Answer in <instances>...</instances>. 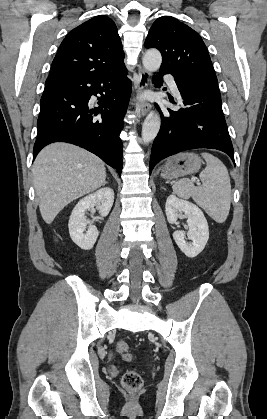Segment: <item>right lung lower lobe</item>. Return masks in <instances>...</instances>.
Masks as SVG:
<instances>
[{"label": "right lung lower lobe", "mask_w": 267, "mask_h": 419, "mask_svg": "<svg viewBox=\"0 0 267 419\" xmlns=\"http://www.w3.org/2000/svg\"><path fill=\"white\" fill-rule=\"evenodd\" d=\"M126 74L123 66L106 74L46 80L33 158L50 143L68 142L99 156L121 174L119 134L131 94ZM97 94L99 107L90 109V97Z\"/></svg>", "instance_id": "obj_1"}]
</instances>
